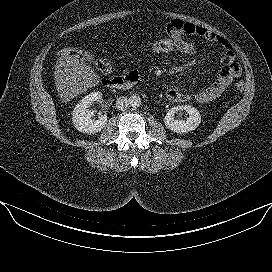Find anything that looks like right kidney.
Segmentation results:
<instances>
[{
  "mask_svg": "<svg viewBox=\"0 0 272 272\" xmlns=\"http://www.w3.org/2000/svg\"><path fill=\"white\" fill-rule=\"evenodd\" d=\"M101 100L102 93L96 91L86 95L76 105L72 112V121L78 131L87 134H95L105 127L107 116L101 115L98 120H94V111L90 109V106L94 102H100Z\"/></svg>",
  "mask_w": 272,
  "mask_h": 272,
  "instance_id": "obj_1",
  "label": "right kidney"
}]
</instances>
